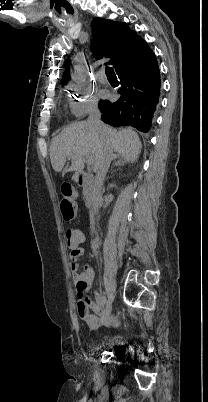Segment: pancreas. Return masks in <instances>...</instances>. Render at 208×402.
I'll list each match as a JSON object with an SVG mask.
<instances>
[{
	"label": "pancreas",
	"instance_id": "obj_1",
	"mask_svg": "<svg viewBox=\"0 0 208 402\" xmlns=\"http://www.w3.org/2000/svg\"><path fill=\"white\" fill-rule=\"evenodd\" d=\"M83 194L84 196H89L90 192L87 190V188H83Z\"/></svg>",
	"mask_w": 208,
	"mask_h": 402
}]
</instances>
